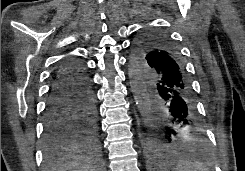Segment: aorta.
<instances>
[{"mask_svg": "<svg viewBox=\"0 0 245 171\" xmlns=\"http://www.w3.org/2000/svg\"><path fill=\"white\" fill-rule=\"evenodd\" d=\"M130 62H135L133 57L130 58ZM128 72H129L130 85H131L132 92L136 100L137 106L139 110L143 113L144 120L149 121L150 116L148 113L150 110V95L148 93V90L142 84L138 76L137 67H130L128 65Z\"/></svg>", "mask_w": 245, "mask_h": 171, "instance_id": "762f6f07", "label": "aorta"}]
</instances>
